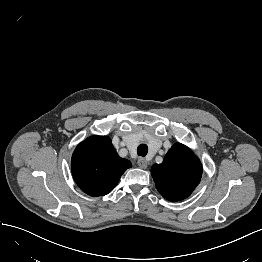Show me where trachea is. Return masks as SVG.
<instances>
[{
    "label": "trachea",
    "instance_id": "obj_1",
    "mask_svg": "<svg viewBox=\"0 0 262 262\" xmlns=\"http://www.w3.org/2000/svg\"><path fill=\"white\" fill-rule=\"evenodd\" d=\"M148 153V146L146 144H140L137 148V154L139 156H146Z\"/></svg>",
    "mask_w": 262,
    "mask_h": 262
}]
</instances>
